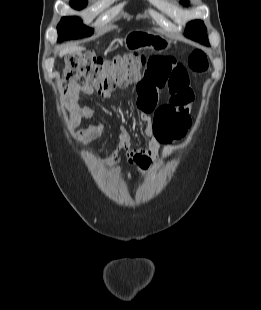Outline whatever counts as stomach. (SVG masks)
<instances>
[{
  "mask_svg": "<svg viewBox=\"0 0 261 310\" xmlns=\"http://www.w3.org/2000/svg\"><path fill=\"white\" fill-rule=\"evenodd\" d=\"M125 42L131 50L151 49L159 53L167 51L171 46L170 40L150 31L130 32Z\"/></svg>",
  "mask_w": 261,
  "mask_h": 310,
  "instance_id": "stomach-1",
  "label": "stomach"
}]
</instances>
